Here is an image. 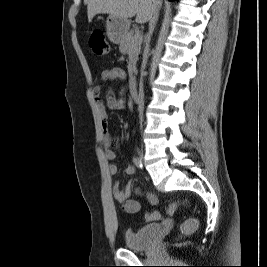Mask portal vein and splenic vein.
Segmentation results:
<instances>
[{"label": "portal vein and splenic vein", "instance_id": "portal-vein-and-splenic-vein-1", "mask_svg": "<svg viewBox=\"0 0 267 267\" xmlns=\"http://www.w3.org/2000/svg\"><path fill=\"white\" fill-rule=\"evenodd\" d=\"M136 39H139L140 41H142V35L139 34V33H137V34H136Z\"/></svg>", "mask_w": 267, "mask_h": 267}]
</instances>
